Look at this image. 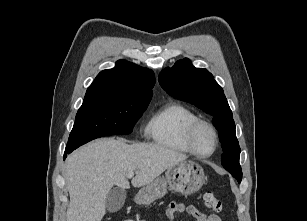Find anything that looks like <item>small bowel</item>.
<instances>
[{"label": "small bowel", "mask_w": 307, "mask_h": 221, "mask_svg": "<svg viewBox=\"0 0 307 221\" xmlns=\"http://www.w3.org/2000/svg\"><path fill=\"white\" fill-rule=\"evenodd\" d=\"M189 214L194 216L197 221H221L220 217L216 214H206L199 211L192 205H184L182 203L172 202L166 210V216L169 221H174L176 214Z\"/></svg>", "instance_id": "c3829d8e"}]
</instances>
